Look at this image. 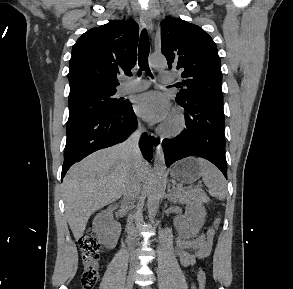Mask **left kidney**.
I'll list each match as a JSON object with an SVG mask.
<instances>
[{"label": "left kidney", "mask_w": 293, "mask_h": 289, "mask_svg": "<svg viewBox=\"0 0 293 289\" xmlns=\"http://www.w3.org/2000/svg\"><path fill=\"white\" fill-rule=\"evenodd\" d=\"M206 211L203 207L190 208L180 217L178 230L184 238H194L204 224Z\"/></svg>", "instance_id": "obj_1"}]
</instances>
